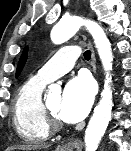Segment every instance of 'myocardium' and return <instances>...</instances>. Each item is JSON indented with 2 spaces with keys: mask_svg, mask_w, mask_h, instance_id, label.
Returning <instances> with one entry per match:
<instances>
[{
  "mask_svg": "<svg viewBox=\"0 0 131 151\" xmlns=\"http://www.w3.org/2000/svg\"><path fill=\"white\" fill-rule=\"evenodd\" d=\"M43 107L50 129L52 131L60 130L63 127V124L58 115L49 108L47 102H43Z\"/></svg>",
  "mask_w": 131,
  "mask_h": 151,
  "instance_id": "myocardium-1",
  "label": "myocardium"
}]
</instances>
